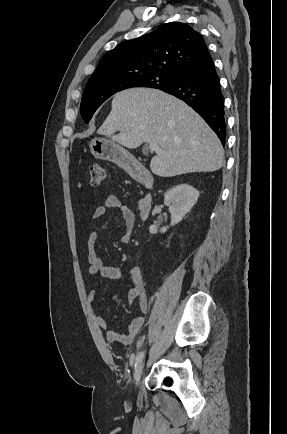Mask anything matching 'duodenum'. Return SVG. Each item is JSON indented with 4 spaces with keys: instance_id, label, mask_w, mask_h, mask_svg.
<instances>
[{
    "instance_id": "410a0bca",
    "label": "duodenum",
    "mask_w": 287,
    "mask_h": 434,
    "mask_svg": "<svg viewBox=\"0 0 287 434\" xmlns=\"http://www.w3.org/2000/svg\"><path fill=\"white\" fill-rule=\"evenodd\" d=\"M123 165L130 170L134 179L146 186L152 185V177L150 174L139 165L137 160L132 157H126L122 161ZM152 208V197L150 195H146L143 197L138 206L139 216L142 220H146L151 212Z\"/></svg>"
}]
</instances>
